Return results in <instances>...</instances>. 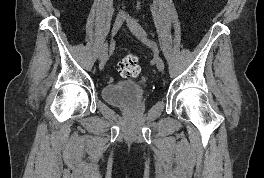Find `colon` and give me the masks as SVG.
Here are the masks:
<instances>
[{
	"label": "colon",
	"mask_w": 264,
	"mask_h": 178,
	"mask_svg": "<svg viewBox=\"0 0 264 178\" xmlns=\"http://www.w3.org/2000/svg\"><path fill=\"white\" fill-rule=\"evenodd\" d=\"M139 59L134 54L124 56L118 63L120 75L127 79H135L140 73Z\"/></svg>",
	"instance_id": "1"
}]
</instances>
